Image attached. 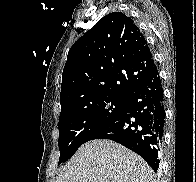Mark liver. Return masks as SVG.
<instances>
[{
  "instance_id": "obj_1",
  "label": "liver",
  "mask_w": 196,
  "mask_h": 182,
  "mask_svg": "<svg viewBox=\"0 0 196 182\" xmlns=\"http://www.w3.org/2000/svg\"><path fill=\"white\" fill-rule=\"evenodd\" d=\"M56 182H156L137 154L110 140L83 144L62 168Z\"/></svg>"
}]
</instances>
